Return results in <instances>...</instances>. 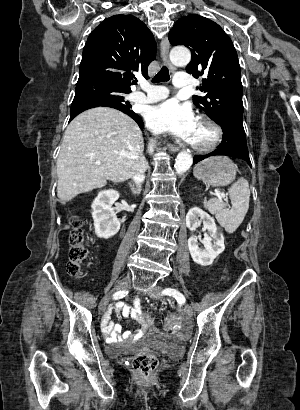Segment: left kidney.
Masks as SVG:
<instances>
[{"label":"left kidney","instance_id":"5707ae66","mask_svg":"<svg viewBox=\"0 0 300 410\" xmlns=\"http://www.w3.org/2000/svg\"><path fill=\"white\" fill-rule=\"evenodd\" d=\"M201 222H203L204 229L208 231L201 241L204 247L200 248L197 237L192 235L188 239V248L194 262L201 266H208L224 251V236L207 212L198 207L191 208L186 215V226L190 231H195Z\"/></svg>","mask_w":300,"mask_h":410}]
</instances>
